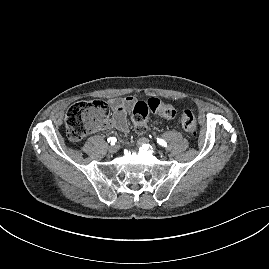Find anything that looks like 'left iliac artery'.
I'll use <instances>...</instances> for the list:
<instances>
[{"instance_id":"obj_1","label":"left iliac artery","mask_w":269,"mask_h":269,"mask_svg":"<svg viewBox=\"0 0 269 269\" xmlns=\"http://www.w3.org/2000/svg\"><path fill=\"white\" fill-rule=\"evenodd\" d=\"M156 140H157V143L159 145H161L162 147H166L167 146V142L165 140H163L161 138H157Z\"/></svg>"}]
</instances>
